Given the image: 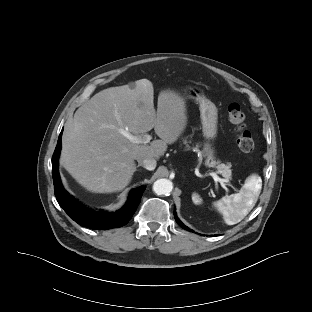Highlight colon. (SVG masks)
<instances>
[{
    "instance_id": "obj_1",
    "label": "colon",
    "mask_w": 312,
    "mask_h": 312,
    "mask_svg": "<svg viewBox=\"0 0 312 312\" xmlns=\"http://www.w3.org/2000/svg\"><path fill=\"white\" fill-rule=\"evenodd\" d=\"M228 119L236 132V143L239 149L244 153H251L255 144L250 131L245 125V114L238 103H231L228 106Z\"/></svg>"
}]
</instances>
